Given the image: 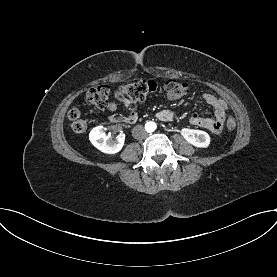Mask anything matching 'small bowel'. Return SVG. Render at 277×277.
<instances>
[{"label": "small bowel", "instance_id": "obj_1", "mask_svg": "<svg viewBox=\"0 0 277 277\" xmlns=\"http://www.w3.org/2000/svg\"><path fill=\"white\" fill-rule=\"evenodd\" d=\"M115 96L119 101L124 103V105L130 110V113L128 115L118 113L119 106L117 103L111 102L108 104V110L112 113L108 117L109 121L114 123L135 122L137 120V113L135 112L136 104L123 97L118 91H116ZM203 100L214 109V118L203 117L197 113H193L189 116V122L192 125L204 128L211 133L220 134L225 122L227 121V103L211 93H204ZM157 118L161 121H172L174 119V113L171 110H162L157 113Z\"/></svg>", "mask_w": 277, "mask_h": 277}]
</instances>
